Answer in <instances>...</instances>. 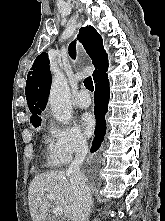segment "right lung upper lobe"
Masks as SVG:
<instances>
[{
	"instance_id": "1",
	"label": "right lung upper lobe",
	"mask_w": 165,
	"mask_h": 221,
	"mask_svg": "<svg viewBox=\"0 0 165 221\" xmlns=\"http://www.w3.org/2000/svg\"><path fill=\"white\" fill-rule=\"evenodd\" d=\"M84 46L87 54L96 67L93 72L94 82L97 83L105 77L108 69V55L103 48L102 37L92 26L82 27L77 38ZM69 55L76 57L75 42L69 45ZM51 87V73L47 53L40 54L28 73L26 82V99L32 113L31 120L40 118L41 111L45 109Z\"/></svg>"
}]
</instances>
